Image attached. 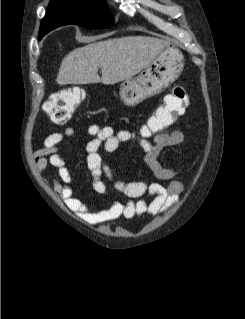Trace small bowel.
<instances>
[{
    "mask_svg": "<svg viewBox=\"0 0 245 319\" xmlns=\"http://www.w3.org/2000/svg\"><path fill=\"white\" fill-rule=\"evenodd\" d=\"M177 89H181V87L175 88L174 91ZM184 102L186 105L188 104L186 93ZM87 133L92 136L86 145V162L93 178L94 190L103 196H110V188L103 180L105 176L123 197L122 200L110 202L107 208L100 209L74 197L69 165L58 154V145L66 138L74 136L75 130L73 128L68 127L62 132L48 135L44 140L43 147L37 150L34 155L36 168L39 171L45 170L48 166H53L58 170V176L52 179L54 191L63 199L66 206L81 219L90 223H113L119 218L131 219L145 214L156 216L169 210L179 200L183 184L173 180L177 176V171L163 166L158 158L164 149L184 144L185 136L180 129L176 128L159 133L153 141L144 138L136 139L145 152L144 161L147 168L156 179L170 180L171 182L167 186L159 183H147L139 180L123 181L115 178L112 169L105 162L101 150L106 153L114 152L121 143L135 140L133 132L121 130L115 133L109 126L93 124L87 128Z\"/></svg>",
    "mask_w": 245,
    "mask_h": 319,
    "instance_id": "obj_1",
    "label": "small bowel"
}]
</instances>
